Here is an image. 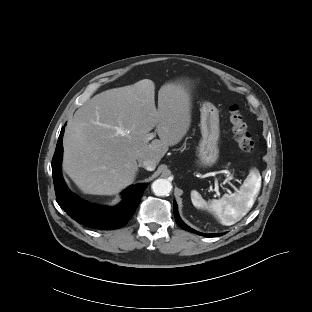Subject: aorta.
I'll use <instances>...</instances> for the list:
<instances>
[{
    "label": "aorta",
    "mask_w": 312,
    "mask_h": 312,
    "mask_svg": "<svg viewBox=\"0 0 312 312\" xmlns=\"http://www.w3.org/2000/svg\"><path fill=\"white\" fill-rule=\"evenodd\" d=\"M171 183L167 179H157L152 183V190L157 196H164L170 193Z\"/></svg>",
    "instance_id": "obj_1"
}]
</instances>
